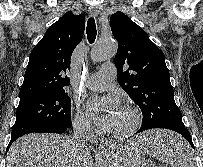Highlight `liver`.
Masks as SVG:
<instances>
[{"mask_svg": "<svg viewBox=\"0 0 203 167\" xmlns=\"http://www.w3.org/2000/svg\"><path fill=\"white\" fill-rule=\"evenodd\" d=\"M141 141L134 143L139 147ZM107 160L112 164L111 153ZM6 167H94L89 150L80 151L70 136L33 133L16 140L6 157Z\"/></svg>", "mask_w": 203, "mask_h": 167, "instance_id": "6515ba94", "label": "liver"}]
</instances>
